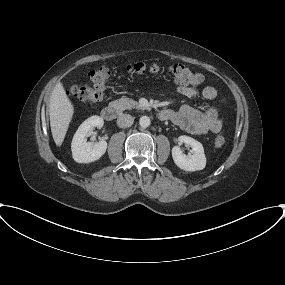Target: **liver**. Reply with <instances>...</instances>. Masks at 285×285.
Wrapping results in <instances>:
<instances>
[{
  "instance_id": "liver-1",
  "label": "liver",
  "mask_w": 285,
  "mask_h": 285,
  "mask_svg": "<svg viewBox=\"0 0 285 285\" xmlns=\"http://www.w3.org/2000/svg\"><path fill=\"white\" fill-rule=\"evenodd\" d=\"M74 114V106L65 92L61 82L52 91L49 102L51 132L55 144L60 147L66 136Z\"/></svg>"
}]
</instances>
